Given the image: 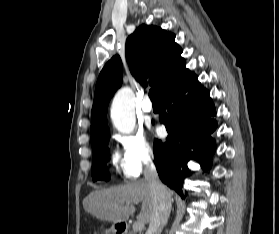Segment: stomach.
Masks as SVG:
<instances>
[{"instance_id": "stomach-1", "label": "stomach", "mask_w": 279, "mask_h": 234, "mask_svg": "<svg viewBox=\"0 0 279 234\" xmlns=\"http://www.w3.org/2000/svg\"><path fill=\"white\" fill-rule=\"evenodd\" d=\"M118 223H114L109 229L105 230V234H116V232L118 231L117 226Z\"/></svg>"}]
</instances>
